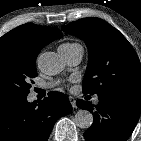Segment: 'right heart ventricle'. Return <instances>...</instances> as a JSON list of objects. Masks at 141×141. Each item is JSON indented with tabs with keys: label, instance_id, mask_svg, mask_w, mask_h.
Listing matches in <instances>:
<instances>
[{
	"label": "right heart ventricle",
	"instance_id": "obj_1",
	"mask_svg": "<svg viewBox=\"0 0 141 141\" xmlns=\"http://www.w3.org/2000/svg\"><path fill=\"white\" fill-rule=\"evenodd\" d=\"M74 45H77L76 43H65V44H62L61 46L63 47H71V46H74Z\"/></svg>",
	"mask_w": 141,
	"mask_h": 141
}]
</instances>
